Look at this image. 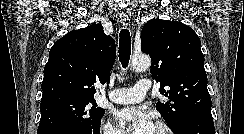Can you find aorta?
Listing matches in <instances>:
<instances>
[{
	"instance_id": "obj_1",
	"label": "aorta",
	"mask_w": 244,
	"mask_h": 134,
	"mask_svg": "<svg viewBox=\"0 0 244 134\" xmlns=\"http://www.w3.org/2000/svg\"><path fill=\"white\" fill-rule=\"evenodd\" d=\"M151 65V60L146 55H138L134 56L131 61V67L135 71H145L147 70Z\"/></svg>"
}]
</instances>
